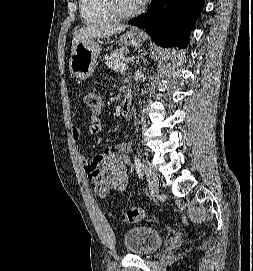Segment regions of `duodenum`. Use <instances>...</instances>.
<instances>
[{
  "label": "duodenum",
  "mask_w": 253,
  "mask_h": 271,
  "mask_svg": "<svg viewBox=\"0 0 253 271\" xmlns=\"http://www.w3.org/2000/svg\"><path fill=\"white\" fill-rule=\"evenodd\" d=\"M132 106V96L131 94L127 93L125 94L124 101L121 106V114L122 115H127L130 113Z\"/></svg>",
  "instance_id": "1"
}]
</instances>
